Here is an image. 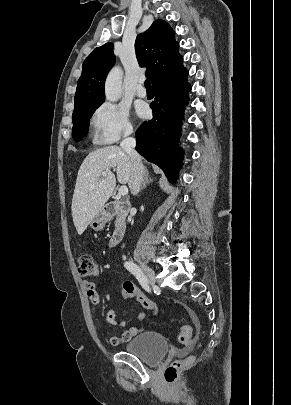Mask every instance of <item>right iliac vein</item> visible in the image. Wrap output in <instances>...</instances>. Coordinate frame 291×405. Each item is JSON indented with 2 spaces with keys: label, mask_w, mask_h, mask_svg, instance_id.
Instances as JSON below:
<instances>
[{
  "label": "right iliac vein",
  "mask_w": 291,
  "mask_h": 405,
  "mask_svg": "<svg viewBox=\"0 0 291 405\" xmlns=\"http://www.w3.org/2000/svg\"><path fill=\"white\" fill-rule=\"evenodd\" d=\"M141 269H142L144 275L146 276V278L148 279V281L150 283L154 284L156 281L154 271L147 265H143V264L141 265Z\"/></svg>",
  "instance_id": "1"
}]
</instances>
